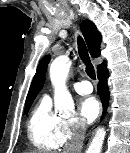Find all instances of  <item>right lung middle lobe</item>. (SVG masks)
Instances as JSON below:
<instances>
[{
  "instance_id": "obj_1",
  "label": "right lung middle lobe",
  "mask_w": 130,
  "mask_h": 153,
  "mask_svg": "<svg viewBox=\"0 0 130 153\" xmlns=\"http://www.w3.org/2000/svg\"><path fill=\"white\" fill-rule=\"evenodd\" d=\"M32 102H33V101H31V102H29V103H26V105H25V113H27V112L29 111Z\"/></svg>"
}]
</instances>
